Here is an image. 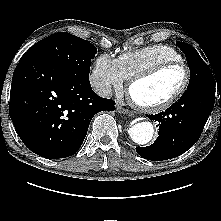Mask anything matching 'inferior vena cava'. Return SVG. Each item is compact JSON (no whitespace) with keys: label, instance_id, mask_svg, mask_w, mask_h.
<instances>
[{"label":"inferior vena cava","instance_id":"obj_1","mask_svg":"<svg viewBox=\"0 0 221 221\" xmlns=\"http://www.w3.org/2000/svg\"><path fill=\"white\" fill-rule=\"evenodd\" d=\"M98 95L102 97H110L112 96V88L109 84H102L98 89H97Z\"/></svg>","mask_w":221,"mask_h":221}]
</instances>
